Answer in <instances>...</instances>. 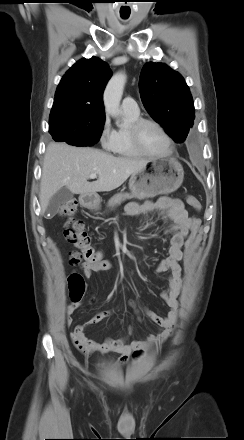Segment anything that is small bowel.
<instances>
[{"mask_svg": "<svg viewBox=\"0 0 244 440\" xmlns=\"http://www.w3.org/2000/svg\"><path fill=\"white\" fill-rule=\"evenodd\" d=\"M127 210L133 216H144L152 212H158L164 220L171 221L170 226L165 230V234L170 237L168 254L156 268V272L168 274V286L161 292L160 297L169 307V312L166 317H161L145 307L138 306L134 302L131 303L139 315L143 313L163 329L158 335H150L146 341L134 340L131 343H127V338L133 332L132 326L128 327L125 337L118 339L107 338L102 343H98L86 335L88 327L97 325L103 319L121 310L122 307L111 311L98 312L92 319L74 328L71 332V338L80 352L86 356L95 351L103 354L117 353L119 354V359L115 364L116 367L126 365L131 357L138 358L143 348L162 342L171 335L178 317V295L181 289L182 273L180 261L183 257L181 248L192 225V218L189 217L184 204L179 199L161 197L154 202L131 203L128 205ZM81 269L86 278H90L93 272L107 270L89 262H84L81 265ZM80 307V302H74L67 307L66 322L68 326L72 324V315Z\"/></svg>", "mask_w": 244, "mask_h": 440, "instance_id": "obj_1", "label": "small bowel"}]
</instances>
